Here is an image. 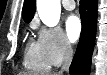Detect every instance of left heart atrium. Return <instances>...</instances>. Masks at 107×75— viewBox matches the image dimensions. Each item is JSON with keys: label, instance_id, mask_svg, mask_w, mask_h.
Wrapping results in <instances>:
<instances>
[{"label": "left heart atrium", "instance_id": "1", "mask_svg": "<svg viewBox=\"0 0 107 75\" xmlns=\"http://www.w3.org/2000/svg\"><path fill=\"white\" fill-rule=\"evenodd\" d=\"M66 31L70 41L75 42L81 35L82 24L77 16H70L66 21Z\"/></svg>", "mask_w": 107, "mask_h": 75}]
</instances>
